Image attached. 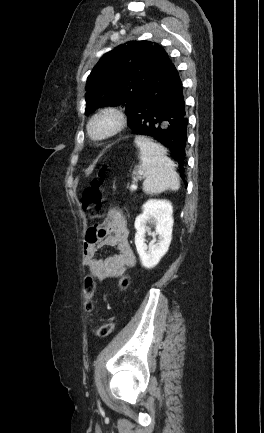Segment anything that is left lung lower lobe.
I'll return each mask as SVG.
<instances>
[{
    "instance_id": "1",
    "label": "left lung lower lobe",
    "mask_w": 264,
    "mask_h": 433,
    "mask_svg": "<svg viewBox=\"0 0 264 433\" xmlns=\"http://www.w3.org/2000/svg\"><path fill=\"white\" fill-rule=\"evenodd\" d=\"M127 116L134 135L149 136L171 151L184 179L188 120L182 82L170 60L139 94Z\"/></svg>"
}]
</instances>
